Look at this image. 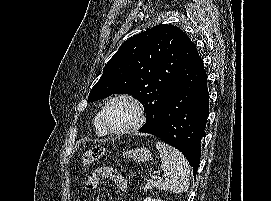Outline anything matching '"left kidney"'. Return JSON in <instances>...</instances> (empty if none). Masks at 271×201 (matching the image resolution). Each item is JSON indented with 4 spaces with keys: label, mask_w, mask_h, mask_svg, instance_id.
<instances>
[{
    "label": "left kidney",
    "mask_w": 271,
    "mask_h": 201,
    "mask_svg": "<svg viewBox=\"0 0 271 201\" xmlns=\"http://www.w3.org/2000/svg\"><path fill=\"white\" fill-rule=\"evenodd\" d=\"M143 201H163V200H160V199H153L151 197H147L146 199H144Z\"/></svg>",
    "instance_id": "left-kidney-1"
}]
</instances>
